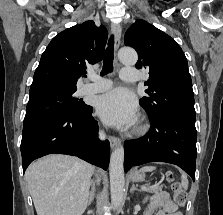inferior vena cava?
Returning <instances> with one entry per match:
<instances>
[{"mask_svg": "<svg viewBox=\"0 0 223 215\" xmlns=\"http://www.w3.org/2000/svg\"><path fill=\"white\" fill-rule=\"evenodd\" d=\"M99 137H101V139H104V137H105V133H104V131H100V133H99Z\"/></svg>", "mask_w": 223, "mask_h": 215, "instance_id": "602c4592", "label": "inferior vena cava"}]
</instances>
